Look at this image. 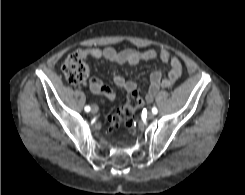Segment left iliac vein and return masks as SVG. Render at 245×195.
<instances>
[{"instance_id":"left-iliac-vein-1","label":"left iliac vein","mask_w":245,"mask_h":195,"mask_svg":"<svg viewBox=\"0 0 245 195\" xmlns=\"http://www.w3.org/2000/svg\"><path fill=\"white\" fill-rule=\"evenodd\" d=\"M148 118H149V119H153V118H154V114H153L152 112H149V113H148Z\"/></svg>"}]
</instances>
